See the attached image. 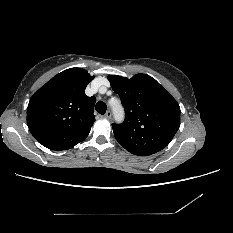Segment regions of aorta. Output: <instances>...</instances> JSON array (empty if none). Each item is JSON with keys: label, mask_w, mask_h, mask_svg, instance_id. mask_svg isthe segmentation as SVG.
<instances>
[{"label": "aorta", "mask_w": 233, "mask_h": 233, "mask_svg": "<svg viewBox=\"0 0 233 233\" xmlns=\"http://www.w3.org/2000/svg\"><path fill=\"white\" fill-rule=\"evenodd\" d=\"M113 112H114L115 118L117 120H122V118H123V110H122L121 106L118 105V106L114 107L113 108Z\"/></svg>", "instance_id": "obj_1"}]
</instances>
